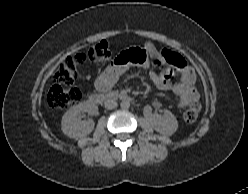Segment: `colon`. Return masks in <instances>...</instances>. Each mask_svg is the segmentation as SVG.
Here are the masks:
<instances>
[{
	"label": "colon",
	"instance_id": "obj_1",
	"mask_svg": "<svg viewBox=\"0 0 248 194\" xmlns=\"http://www.w3.org/2000/svg\"><path fill=\"white\" fill-rule=\"evenodd\" d=\"M169 50H162L154 56L157 63L160 64V56L167 57ZM142 54L141 50H131L124 53V61H135L138 56ZM111 58L109 45L106 41H101L88 50L86 53H78L74 56L68 57L59 66L55 74V83L51 86L48 95L47 103L54 109H68L77 104L81 99V92L76 87H66L64 84H72L78 75V67L86 60L95 62H108ZM201 106L199 102L191 103L184 111L183 118L187 123H193L197 120L200 113Z\"/></svg>",
	"mask_w": 248,
	"mask_h": 194
}]
</instances>
